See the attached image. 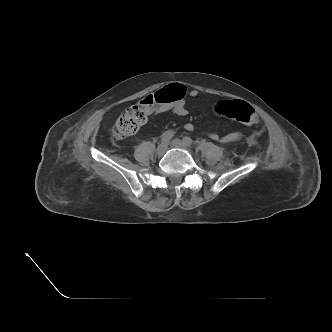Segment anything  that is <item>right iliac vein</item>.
<instances>
[{
	"label": "right iliac vein",
	"instance_id": "right-iliac-vein-1",
	"mask_svg": "<svg viewBox=\"0 0 332 332\" xmlns=\"http://www.w3.org/2000/svg\"><path fill=\"white\" fill-rule=\"evenodd\" d=\"M166 150H167V142H161L156 149V154L158 156H162L164 155Z\"/></svg>",
	"mask_w": 332,
	"mask_h": 332
}]
</instances>
